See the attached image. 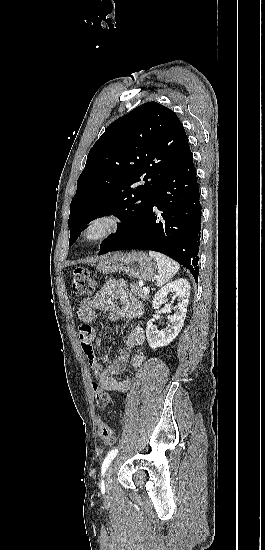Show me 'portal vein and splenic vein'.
<instances>
[{
  "mask_svg": "<svg viewBox=\"0 0 265 550\" xmlns=\"http://www.w3.org/2000/svg\"><path fill=\"white\" fill-rule=\"evenodd\" d=\"M143 291H144L145 294H149V292H150V290H149L148 287H144V288H143Z\"/></svg>",
  "mask_w": 265,
  "mask_h": 550,
  "instance_id": "18ae733b",
  "label": "portal vein and splenic vein"
}]
</instances>
